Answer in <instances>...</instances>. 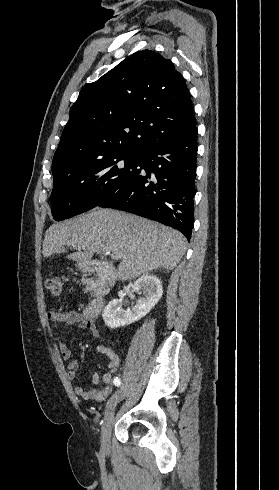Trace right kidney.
Here are the masks:
<instances>
[{
	"mask_svg": "<svg viewBox=\"0 0 279 490\" xmlns=\"http://www.w3.org/2000/svg\"><path fill=\"white\" fill-rule=\"evenodd\" d=\"M134 292L143 294V298L137 300L136 306L131 312L123 310L120 300H111L105 310H103L102 318L108 328H120V326H128L133 322H138L149 314L150 310L158 304L163 296L162 282L153 274L141 276L134 282Z\"/></svg>",
	"mask_w": 279,
	"mask_h": 490,
	"instance_id": "ca27d5eb",
	"label": "right kidney"
}]
</instances>
